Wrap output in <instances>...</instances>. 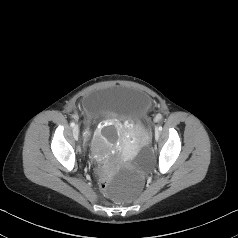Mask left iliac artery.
Instances as JSON below:
<instances>
[{
    "label": "left iliac artery",
    "instance_id": "obj_1",
    "mask_svg": "<svg viewBox=\"0 0 238 238\" xmlns=\"http://www.w3.org/2000/svg\"><path fill=\"white\" fill-rule=\"evenodd\" d=\"M158 130H159V131H162V126H159V127H158Z\"/></svg>",
    "mask_w": 238,
    "mask_h": 238
}]
</instances>
